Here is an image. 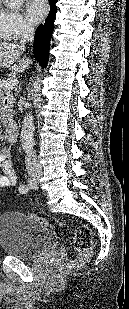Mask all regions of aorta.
<instances>
[{"instance_id": "aorta-1", "label": "aorta", "mask_w": 129, "mask_h": 309, "mask_svg": "<svg viewBox=\"0 0 129 309\" xmlns=\"http://www.w3.org/2000/svg\"><path fill=\"white\" fill-rule=\"evenodd\" d=\"M23 0H5L9 8L14 9L20 5ZM22 147L27 154L34 153V117L32 110H29L22 121L21 130Z\"/></svg>"}]
</instances>
